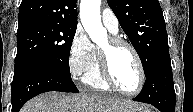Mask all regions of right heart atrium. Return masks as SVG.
<instances>
[{
  "label": "right heart atrium",
  "instance_id": "right-heart-atrium-1",
  "mask_svg": "<svg viewBox=\"0 0 193 112\" xmlns=\"http://www.w3.org/2000/svg\"><path fill=\"white\" fill-rule=\"evenodd\" d=\"M94 58V46L82 28H77L68 50V68L72 76L82 77Z\"/></svg>",
  "mask_w": 193,
  "mask_h": 112
}]
</instances>
